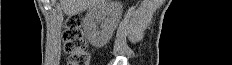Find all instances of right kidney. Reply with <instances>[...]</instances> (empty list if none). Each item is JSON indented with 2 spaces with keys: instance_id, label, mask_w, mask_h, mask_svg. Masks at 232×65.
<instances>
[{
  "instance_id": "1",
  "label": "right kidney",
  "mask_w": 232,
  "mask_h": 65,
  "mask_svg": "<svg viewBox=\"0 0 232 65\" xmlns=\"http://www.w3.org/2000/svg\"><path fill=\"white\" fill-rule=\"evenodd\" d=\"M122 12V5L116 0H101L87 11L84 19V34L94 47L100 48L109 42ZM98 23H101L100 31H98Z\"/></svg>"
}]
</instances>
